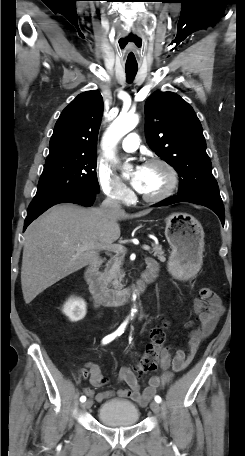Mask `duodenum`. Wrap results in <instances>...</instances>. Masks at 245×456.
I'll use <instances>...</instances> for the list:
<instances>
[{
	"label": "duodenum",
	"instance_id": "1",
	"mask_svg": "<svg viewBox=\"0 0 245 456\" xmlns=\"http://www.w3.org/2000/svg\"><path fill=\"white\" fill-rule=\"evenodd\" d=\"M101 263V258H96L90 262L85 269V279L94 300L104 305H118L132 300L134 295L143 293L147 285L155 280L158 271L157 263L149 260L147 269L134 286L126 289H111L100 275L99 266Z\"/></svg>",
	"mask_w": 245,
	"mask_h": 456
}]
</instances>
